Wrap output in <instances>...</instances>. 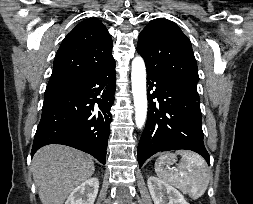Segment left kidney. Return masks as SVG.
<instances>
[{"label":"left kidney","instance_id":"1","mask_svg":"<svg viewBox=\"0 0 253 204\" xmlns=\"http://www.w3.org/2000/svg\"><path fill=\"white\" fill-rule=\"evenodd\" d=\"M147 184L154 204H189L177 189L157 177H148Z\"/></svg>","mask_w":253,"mask_h":204}]
</instances>
